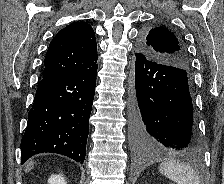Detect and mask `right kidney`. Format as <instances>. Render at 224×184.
Returning <instances> with one entry per match:
<instances>
[{
  "instance_id": "1",
  "label": "right kidney",
  "mask_w": 224,
  "mask_h": 184,
  "mask_svg": "<svg viewBox=\"0 0 224 184\" xmlns=\"http://www.w3.org/2000/svg\"><path fill=\"white\" fill-rule=\"evenodd\" d=\"M48 184H67L63 175H52L48 179Z\"/></svg>"
}]
</instances>
